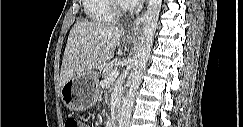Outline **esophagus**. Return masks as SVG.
Instances as JSON below:
<instances>
[{"label":"esophagus","instance_id":"obj_1","mask_svg":"<svg viewBox=\"0 0 243 127\" xmlns=\"http://www.w3.org/2000/svg\"><path fill=\"white\" fill-rule=\"evenodd\" d=\"M148 3V1H147ZM144 17H145V12L143 11L141 13V15H139L134 21L133 23L130 25V27L127 30V33L130 35H137L140 33L141 30V26L143 24L144 21Z\"/></svg>","mask_w":243,"mask_h":127}]
</instances>
